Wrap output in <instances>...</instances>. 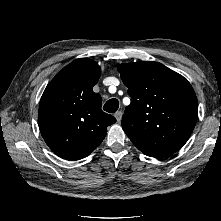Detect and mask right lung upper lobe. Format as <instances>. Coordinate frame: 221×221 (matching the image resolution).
<instances>
[{"label":"right lung upper lobe","instance_id":"1","mask_svg":"<svg viewBox=\"0 0 221 221\" xmlns=\"http://www.w3.org/2000/svg\"><path fill=\"white\" fill-rule=\"evenodd\" d=\"M101 74L91 59H76L47 85L39 105L41 134L58 156L79 160L96 149L116 119L101 110V96L93 92Z\"/></svg>","mask_w":221,"mask_h":221}]
</instances>
